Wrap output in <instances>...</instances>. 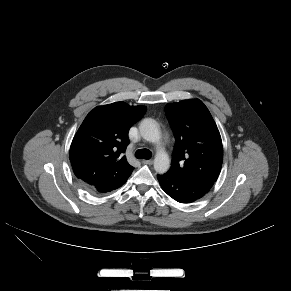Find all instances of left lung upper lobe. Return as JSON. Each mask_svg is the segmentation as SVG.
Listing matches in <instances>:
<instances>
[{"mask_svg":"<svg viewBox=\"0 0 291 291\" xmlns=\"http://www.w3.org/2000/svg\"><path fill=\"white\" fill-rule=\"evenodd\" d=\"M166 116L176 135L168 172L211 188L223 161L218 128L207 107L198 99L165 106Z\"/></svg>","mask_w":291,"mask_h":291,"instance_id":"5c2ea615","label":"left lung upper lobe"}]
</instances>
